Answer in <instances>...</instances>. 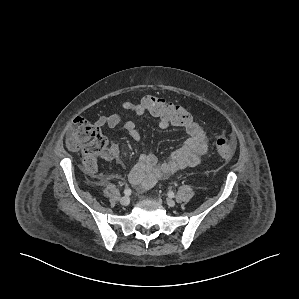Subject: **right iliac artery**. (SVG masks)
I'll return each instance as SVG.
<instances>
[{"label": "right iliac artery", "mask_w": 299, "mask_h": 299, "mask_svg": "<svg viewBox=\"0 0 299 299\" xmlns=\"http://www.w3.org/2000/svg\"><path fill=\"white\" fill-rule=\"evenodd\" d=\"M132 193V190L130 188H127L124 190V194L129 196Z\"/></svg>", "instance_id": "82829eb1"}]
</instances>
